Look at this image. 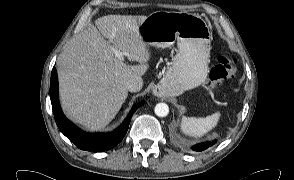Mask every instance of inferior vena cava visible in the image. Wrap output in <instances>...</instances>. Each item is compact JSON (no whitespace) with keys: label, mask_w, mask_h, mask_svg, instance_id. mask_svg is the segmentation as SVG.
Returning <instances> with one entry per match:
<instances>
[{"label":"inferior vena cava","mask_w":294,"mask_h":180,"mask_svg":"<svg viewBox=\"0 0 294 180\" xmlns=\"http://www.w3.org/2000/svg\"><path fill=\"white\" fill-rule=\"evenodd\" d=\"M142 86L143 80L141 77L131 78L126 84V88L130 92H138L141 90Z\"/></svg>","instance_id":"1"}]
</instances>
